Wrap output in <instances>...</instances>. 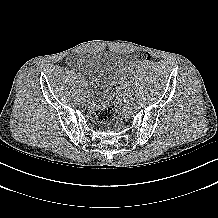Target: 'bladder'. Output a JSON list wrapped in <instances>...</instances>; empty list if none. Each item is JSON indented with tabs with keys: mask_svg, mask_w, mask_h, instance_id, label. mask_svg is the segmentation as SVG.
Wrapping results in <instances>:
<instances>
[{
	"mask_svg": "<svg viewBox=\"0 0 218 218\" xmlns=\"http://www.w3.org/2000/svg\"><path fill=\"white\" fill-rule=\"evenodd\" d=\"M78 64L83 69L86 92L91 103H109L114 87L123 77L122 59L111 52L81 54Z\"/></svg>",
	"mask_w": 218,
	"mask_h": 218,
	"instance_id": "31cf9c89",
	"label": "bladder"
}]
</instances>
